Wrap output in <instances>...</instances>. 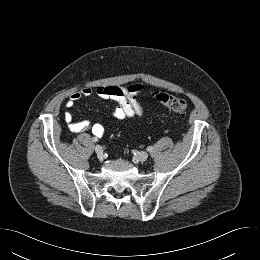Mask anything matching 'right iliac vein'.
Here are the masks:
<instances>
[{
  "mask_svg": "<svg viewBox=\"0 0 260 260\" xmlns=\"http://www.w3.org/2000/svg\"><path fill=\"white\" fill-rule=\"evenodd\" d=\"M94 149H95V152H96L98 158H99L100 160H102V157H103V148H102L100 145H96V146L94 147Z\"/></svg>",
  "mask_w": 260,
  "mask_h": 260,
  "instance_id": "right-iliac-vein-1",
  "label": "right iliac vein"
}]
</instances>
